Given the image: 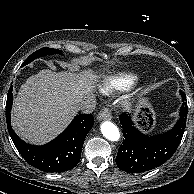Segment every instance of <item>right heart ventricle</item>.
I'll return each mask as SVG.
<instances>
[{"label": "right heart ventricle", "mask_w": 194, "mask_h": 194, "mask_svg": "<svg viewBox=\"0 0 194 194\" xmlns=\"http://www.w3.org/2000/svg\"><path fill=\"white\" fill-rule=\"evenodd\" d=\"M139 76L132 72H121L105 78L101 91L104 94H111L114 91L124 90L136 83Z\"/></svg>", "instance_id": "1"}]
</instances>
